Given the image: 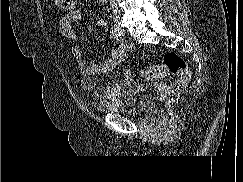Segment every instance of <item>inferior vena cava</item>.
Segmentation results:
<instances>
[{"instance_id": "602c4592", "label": "inferior vena cava", "mask_w": 243, "mask_h": 182, "mask_svg": "<svg viewBox=\"0 0 243 182\" xmlns=\"http://www.w3.org/2000/svg\"><path fill=\"white\" fill-rule=\"evenodd\" d=\"M116 0H111V6H112V9H113V14L114 15H118L119 14V10H118V7L116 5Z\"/></svg>"}]
</instances>
